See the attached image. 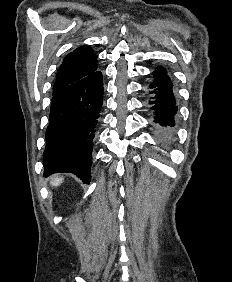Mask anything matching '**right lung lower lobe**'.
<instances>
[{
	"mask_svg": "<svg viewBox=\"0 0 232 282\" xmlns=\"http://www.w3.org/2000/svg\"><path fill=\"white\" fill-rule=\"evenodd\" d=\"M102 103L99 70L53 92L43 154L44 176L70 172L89 184L93 139Z\"/></svg>",
	"mask_w": 232,
	"mask_h": 282,
	"instance_id": "obj_1",
	"label": "right lung lower lobe"
}]
</instances>
